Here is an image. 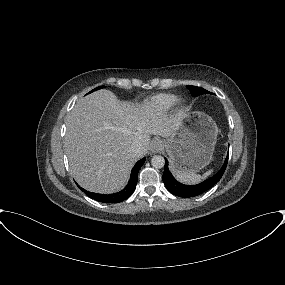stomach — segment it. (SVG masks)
Masks as SVG:
<instances>
[{"instance_id":"1","label":"stomach","mask_w":285,"mask_h":285,"mask_svg":"<svg viewBox=\"0 0 285 285\" xmlns=\"http://www.w3.org/2000/svg\"><path fill=\"white\" fill-rule=\"evenodd\" d=\"M178 130L165 141L170 168L177 173H196L207 166L213 156L218 127L204 113H193Z\"/></svg>"}]
</instances>
